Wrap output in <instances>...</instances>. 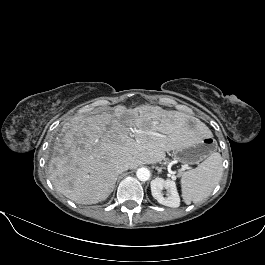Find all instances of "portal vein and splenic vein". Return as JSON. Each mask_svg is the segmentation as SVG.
<instances>
[{"label":"portal vein and splenic vein","instance_id":"portal-vein-and-splenic-vein-1","mask_svg":"<svg viewBox=\"0 0 265 265\" xmlns=\"http://www.w3.org/2000/svg\"><path fill=\"white\" fill-rule=\"evenodd\" d=\"M186 169H189V166L188 165H183L182 168H181L182 171H184Z\"/></svg>","mask_w":265,"mask_h":265}]
</instances>
